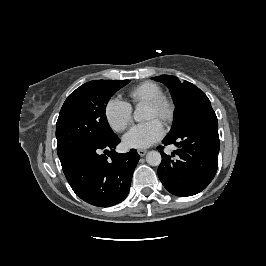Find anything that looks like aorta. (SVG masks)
<instances>
[{
	"instance_id": "obj_1",
	"label": "aorta",
	"mask_w": 266,
	"mask_h": 266,
	"mask_svg": "<svg viewBox=\"0 0 266 266\" xmlns=\"http://www.w3.org/2000/svg\"><path fill=\"white\" fill-rule=\"evenodd\" d=\"M146 114L141 104H138L134 111V120L137 122L144 121ZM161 154L158 151H150L146 155V161L151 166H158L161 163Z\"/></svg>"
}]
</instances>
